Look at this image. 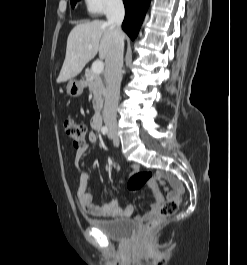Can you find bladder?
<instances>
[{"label":"bladder","instance_id":"bladder-1","mask_svg":"<svg viewBox=\"0 0 247 265\" xmlns=\"http://www.w3.org/2000/svg\"><path fill=\"white\" fill-rule=\"evenodd\" d=\"M88 224L115 241L128 240L135 230L134 222L124 218L111 220L89 219Z\"/></svg>","mask_w":247,"mask_h":265}]
</instances>
